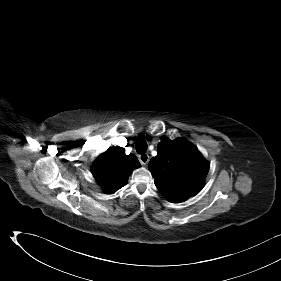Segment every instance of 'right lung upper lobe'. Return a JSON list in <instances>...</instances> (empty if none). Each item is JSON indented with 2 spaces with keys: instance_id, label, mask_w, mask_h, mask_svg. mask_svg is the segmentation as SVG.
<instances>
[{
  "instance_id": "1",
  "label": "right lung upper lobe",
  "mask_w": 281,
  "mask_h": 281,
  "mask_svg": "<svg viewBox=\"0 0 281 281\" xmlns=\"http://www.w3.org/2000/svg\"><path fill=\"white\" fill-rule=\"evenodd\" d=\"M138 167L140 163L135 155H126L124 148L116 146L98 156L92 173L104 192L112 194L126 184L131 171Z\"/></svg>"
}]
</instances>
